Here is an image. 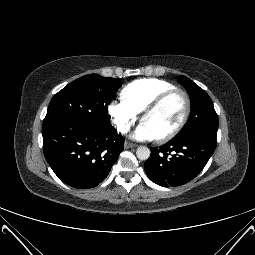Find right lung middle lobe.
<instances>
[{
  "label": "right lung middle lobe",
  "mask_w": 255,
  "mask_h": 255,
  "mask_svg": "<svg viewBox=\"0 0 255 255\" xmlns=\"http://www.w3.org/2000/svg\"><path fill=\"white\" fill-rule=\"evenodd\" d=\"M120 86V79L97 74L78 78L54 95L44 122L73 119L99 130L111 129L108 105Z\"/></svg>",
  "instance_id": "obj_1"
}]
</instances>
